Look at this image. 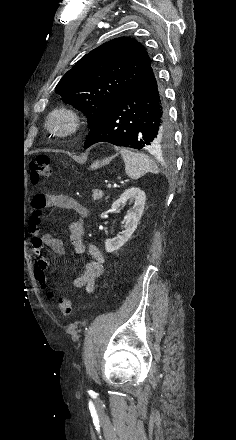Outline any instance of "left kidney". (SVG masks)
Returning <instances> with one entry per match:
<instances>
[{"label":"left kidney","instance_id":"obj_1","mask_svg":"<svg viewBox=\"0 0 236 440\" xmlns=\"http://www.w3.org/2000/svg\"><path fill=\"white\" fill-rule=\"evenodd\" d=\"M129 201L133 204L131 210H129L124 218V231L121 235H117L113 239L105 240V249L108 253L114 252L120 249L132 236L137 228L138 222L142 216L146 196L143 190L137 187H132L126 190L116 201L112 204V210L119 212L121 207Z\"/></svg>","mask_w":236,"mask_h":440}]
</instances>
